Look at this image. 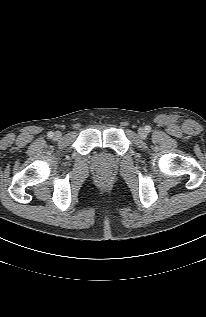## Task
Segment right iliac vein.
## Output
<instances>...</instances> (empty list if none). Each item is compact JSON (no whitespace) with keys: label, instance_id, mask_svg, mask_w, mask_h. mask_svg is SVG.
Instances as JSON below:
<instances>
[{"label":"right iliac vein","instance_id":"63e3f726","mask_svg":"<svg viewBox=\"0 0 206 317\" xmlns=\"http://www.w3.org/2000/svg\"><path fill=\"white\" fill-rule=\"evenodd\" d=\"M55 138L56 139H60L61 138V133L60 132H56L55 133Z\"/></svg>","mask_w":206,"mask_h":317}]
</instances>
